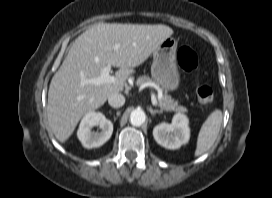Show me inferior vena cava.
<instances>
[{"label":"inferior vena cava","mask_w":272,"mask_h":198,"mask_svg":"<svg viewBox=\"0 0 272 198\" xmlns=\"http://www.w3.org/2000/svg\"><path fill=\"white\" fill-rule=\"evenodd\" d=\"M108 103L114 108L122 107L125 103V97L120 93L111 94L108 97Z\"/></svg>","instance_id":"obj_1"}]
</instances>
